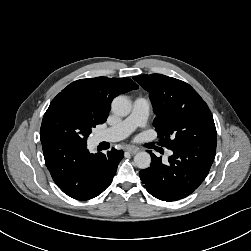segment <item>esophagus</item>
<instances>
[{"label":"esophagus","instance_id":"obj_1","mask_svg":"<svg viewBox=\"0 0 251 251\" xmlns=\"http://www.w3.org/2000/svg\"><path fill=\"white\" fill-rule=\"evenodd\" d=\"M126 151L129 152L130 154H136L139 151V149L136 147H127Z\"/></svg>","mask_w":251,"mask_h":251}]
</instances>
